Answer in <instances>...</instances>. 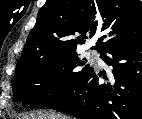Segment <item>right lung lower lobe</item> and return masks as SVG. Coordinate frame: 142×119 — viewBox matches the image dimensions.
Listing matches in <instances>:
<instances>
[{"label": "right lung lower lobe", "instance_id": "1", "mask_svg": "<svg viewBox=\"0 0 142 119\" xmlns=\"http://www.w3.org/2000/svg\"><path fill=\"white\" fill-rule=\"evenodd\" d=\"M101 58L112 67L110 83L100 84L103 74L93 69L76 90L50 108L79 119H142V38L113 46Z\"/></svg>", "mask_w": 142, "mask_h": 119}]
</instances>
